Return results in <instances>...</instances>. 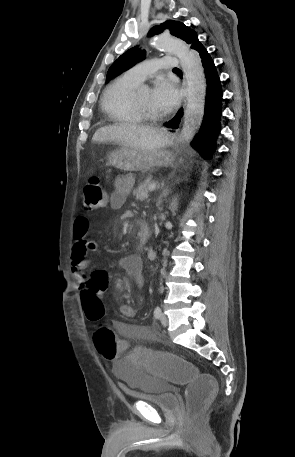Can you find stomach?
<instances>
[{
  "label": "stomach",
  "mask_w": 295,
  "mask_h": 457,
  "mask_svg": "<svg viewBox=\"0 0 295 457\" xmlns=\"http://www.w3.org/2000/svg\"><path fill=\"white\" fill-rule=\"evenodd\" d=\"M171 138L168 134V142ZM173 162L170 152L162 149L138 151L130 147H120L109 152L108 165L125 171H141L152 167H166Z\"/></svg>",
  "instance_id": "1"
}]
</instances>
